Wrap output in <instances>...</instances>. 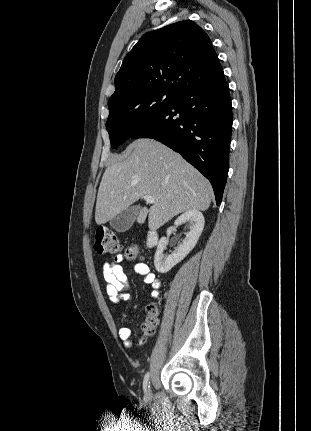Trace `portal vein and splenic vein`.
<instances>
[{
  "instance_id": "portal-vein-and-splenic-vein-1",
  "label": "portal vein and splenic vein",
  "mask_w": 311,
  "mask_h": 431,
  "mask_svg": "<svg viewBox=\"0 0 311 431\" xmlns=\"http://www.w3.org/2000/svg\"><path fill=\"white\" fill-rule=\"evenodd\" d=\"M143 198L147 204H155V200L152 198V196H143Z\"/></svg>"
}]
</instances>
